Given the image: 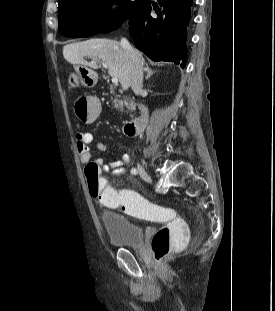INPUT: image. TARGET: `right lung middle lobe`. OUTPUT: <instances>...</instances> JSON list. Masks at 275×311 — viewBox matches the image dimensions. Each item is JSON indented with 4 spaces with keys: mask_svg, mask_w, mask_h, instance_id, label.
<instances>
[{
    "mask_svg": "<svg viewBox=\"0 0 275 311\" xmlns=\"http://www.w3.org/2000/svg\"><path fill=\"white\" fill-rule=\"evenodd\" d=\"M146 0H69L58 6L59 31L67 37H79L87 27L96 33L117 29ZM120 6L111 11L113 4Z\"/></svg>",
    "mask_w": 275,
    "mask_h": 311,
    "instance_id": "right-lung-middle-lobe-1",
    "label": "right lung middle lobe"
}]
</instances>
